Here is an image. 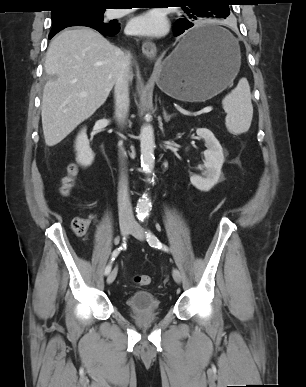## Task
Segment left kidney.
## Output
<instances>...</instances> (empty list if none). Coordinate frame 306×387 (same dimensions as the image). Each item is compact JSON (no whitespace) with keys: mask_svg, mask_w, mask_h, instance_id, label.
I'll return each mask as SVG.
<instances>
[{"mask_svg":"<svg viewBox=\"0 0 306 387\" xmlns=\"http://www.w3.org/2000/svg\"><path fill=\"white\" fill-rule=\"evenodd\" d=\"M196 133L204 139L205 146L207 147L204 151V164L198 167V169H205V171L202 176L192 175L190 181L197 189L209 191L219 180L221 168L224 163L223 149L209 129L198 128Z\"/></svg>","mask_w":306,"mask_h":387,"instance_id":"left-kidney-1","label":"left kidney"}]
</instances>
